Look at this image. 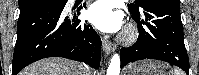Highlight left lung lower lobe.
I'll return each mask as SVG.
<instances>
[{"label":"left lung lower lobe","mask_w":199,"mask_h":75,"mask_svg":"<svg viewBox=\"0 0 199 75\" xmlns=\"http://www.w3.org/2000/svg\"><path fill=\"white\" fill-rule=\"evenodd\" d=\"M138 23L139 38L120 50L121 68L142 59L162 60L189 75V58L184 45L179 0H153L141 12L130 9Z\"/></svg>","instance_id":"obj_1"}]
</instances>
